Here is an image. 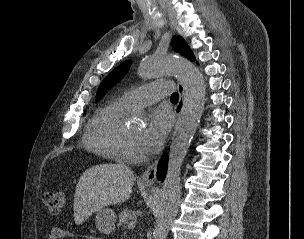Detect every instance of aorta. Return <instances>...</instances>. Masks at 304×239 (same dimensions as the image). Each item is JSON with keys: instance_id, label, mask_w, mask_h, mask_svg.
I'll return each mask as SVG.
<instances>
[{"instance_id": "762f6f07", "label": "aorta", "mask_w": 304, "mask_h": 239, "mask_svg": "<svg viewBox=\"0 0 304 239\" xmlns=\"http://www.w3.org/2000/svg\"><path fill=\"white\" fill-rule=\"evenodd\" d=\"M139 74L143 79L174 75L184 86V100L170 146L168 171L157 207L154 239H166L177 213L181 197V166L199 125L206 85L200 70L185 58L172 55L152 56L142 61Z\"/></svg>"}]
</instances>
